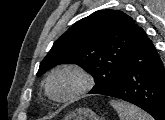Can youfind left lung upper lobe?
<instances>
[{
	"mask_svg": "<svg viewBox=\"0 0 165 120\" xmlns=\"http://www.w3.org/2000/svg\"><path fill=\"white\" fill-rule=\"evenodd\" d=\"M144 34L120 10L96 11L54 42L37 76L58 64H77L94 77L96 85L90 93L107 95L120 85L126 60Z\"/></svg>",
	"mask_w": 165,
	"mask_h": 120,
	"instance_id": "1",
	"label": "left lung upper lobe"
}]
</instances>
